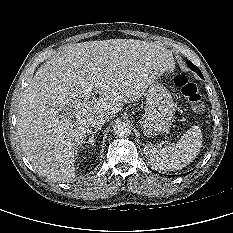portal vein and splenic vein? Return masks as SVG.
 <instances>
[{
  "label": "portal vein and splenic vein",
  "mask_w": 233,
  "mask_h": 233,
  "mask_svg": "<svg viewBox=\"0 0 233 233\" xmlns=\"http://www.w3.org/2000/svg\"><path fill=\"white\" fill-rule=\"evenodd\" d=\"M81 84V87H82V96L85 100H88L90 99V96H91V93H92V89L94 88V85L93 84H90L88 82H85V81H81L80 82ZM57 112V111H55Z\"/></svg>",
  "instance_id": "18ae733b"
}]
</instances>
